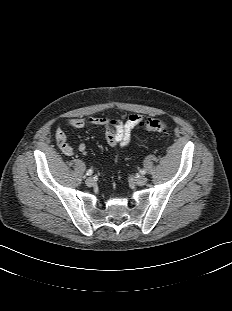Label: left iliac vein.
<instances>
[{
	"instance_id": "obj_1",
	"label": "left iliac vein",
	"mask_w": 232,
	"mask_h": 311,
	"mask_svg": "<svg viewBox=\"0 0 232 311\" xmlns=\"http://www.w3.org/2000/svg\"><path fill=\"white\" fill-rule=\"evenodd\" d=\"M148 179L145 176H139L135 178V182L139 186H143L147 183Z\"/></svg>"
}]
</instances>
